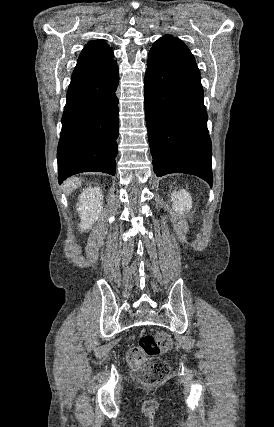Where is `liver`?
Listing matches in <instances>:
<instances>
[{
    "instance_id": "obj_1",
    "label": "liver",
    "mask_w": 274,
    "mask_h": 427,
    "mask_svg": "<svg viewBox=\"0 0 274 427\" xmlns=\"http://www.w3.org/2000/svg\"><path fill=\"white\" fill-rule=\"evenodd\" d=\"M81 184V178H69V180H66V182H64V190L66 194H71V192H73V190H76V188H78V186H81Z\"/></svg>"
}]
</instances>
